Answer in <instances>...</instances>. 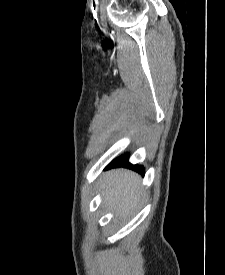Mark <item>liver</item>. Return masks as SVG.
<instances>
[{"label": "liver", "mask_w": 225, "mask_h": 275, "mask_svg": "<svg viewBox=\"0 0 225 275\" xmlns=\"http://www.w3.org/2000/svg\"><path fill=\"white\" fill-rule=\"evenodd\" d=\"M101 189L104 203L120 217H126L138 205L140 176L129 170H112Z\"/></svg>", "instance_id": "liver-1"}]
</instances>
